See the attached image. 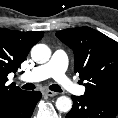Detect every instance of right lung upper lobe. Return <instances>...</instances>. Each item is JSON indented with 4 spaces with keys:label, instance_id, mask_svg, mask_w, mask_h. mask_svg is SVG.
Returning a JSON list of instances; mask_svg holds the SVG:
<instances>
[{
    "label": "right lung upper lobe",
    "instance_id": "1",
    "mask_svg": "<svg viewBox=\"0 0 118 118\" xmlns=\"http://www.w3.org/2000/svg\"><path fill=\"white\" fill-rule=\"evenodd\" d=\"M43 34V31L0 29V109L28 93L14 83L7 85V75L17 71L30 49L42 39Z\"/></svg>",
    "mask_w": 118,
    "mask_h": 118
}]
</instances>
